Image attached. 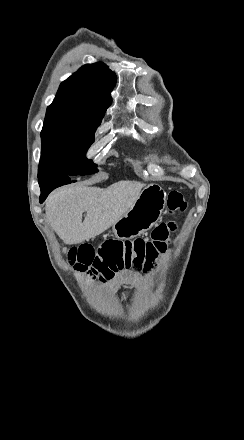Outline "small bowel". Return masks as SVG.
<instances>
[{"mask_svg": "<svg viewBox=\"0 0 244 440\" xmlns=\"http://www.w3.org/2000/svg\"><path fill=\"white\" fill-rule=\"evenodd\" d=\"M126 281H134L137 283H140L143 281V277L135 272L132 271H124L115 277L113 281H110L107 283L103 288H101L98 293L99 294H108L112 292L120 283L126 282Z\"/></svg>", "mask_w": 244, "mask_h": 440, "instance_id": "1", "label": "small bowel"}]
</instances>
